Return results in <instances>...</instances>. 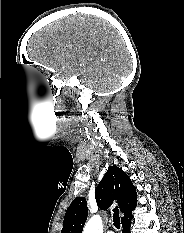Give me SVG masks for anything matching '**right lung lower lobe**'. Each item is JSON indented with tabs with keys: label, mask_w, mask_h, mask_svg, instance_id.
<instances>
[{
	"label": "right lung lower lobe",
	"mask_w": 184,
	"mask_h": 233,
	"mask_svg": "<svg viewBox=\"0 0 184 233\" xmlns=\"http://www.w3.org/2000/svg\"><path fill=\"white\" fill-rule=\"evenodd\" d=\"M130 226H131V217L124 222H122V233H130Z\"/></svg>",
	"instance_id": "obj_1"
}]
</instances>
